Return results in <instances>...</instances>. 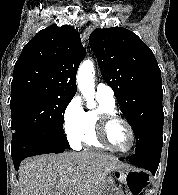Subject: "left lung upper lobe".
Wrapping results in <instances>:
<instances>
[{"label": "left lung upper lobe", "mask_w": 178, "mask_h": 195, "mask_svg": "<svg viewBox=\"0 0 178 195\" xmlns=\"http://www.w3.org/2000/svg\"><path fill=\"white\" fill-rule=\"evenodd\" d=\"M89 44L134 131L135 152L162 144L163 90L153 52L136 34L122 27L94 30Z\"/></svg>", "instance_id": "5c2ea615"}]
</instances>
